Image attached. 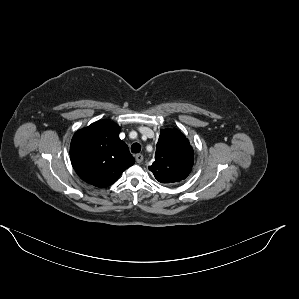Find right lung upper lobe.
Instances as JSON below:
<instances>
[{"instance_id": "right-lung-upper-lobe-1", "label": "right lung upper lobe", "mask_w": 299, "mask_h": 299, "mask_svg": "<svg viewBox=\"0 0 299 299\" xmlns=\"http://www.w3.org/2000/svg\"><path fill=\"white\" fill-rule=\"evenodd\" d=\"M120 127L103 120L78 130L71 141V163L78 176L99 188L113 184L135 162L119 138Z\"/></svg>"}]
</instances>
